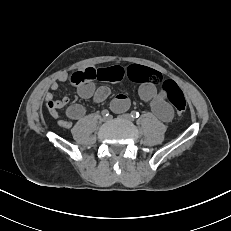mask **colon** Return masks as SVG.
Instances as JSON below:
<instances>
[{"label": "colon", "mask_w": 231, "mask_h": 231, "mask_svg": "<svg viewBox=\"0 0 231 231\" xmlns=\"http://www.w3.org/2000/svg\"><path fill=\"white\" fill-rule=\"evenodd\" d=\"M132 74L133 79L138 82H148L154 85L161 84L176 112L178 114H183L185 112L187 107L186 99L183 92L174 81H163L162 75L158 71L142 66H135ZM82 80L83 76L78 72L71 77V82L74 84H79Z\"/></svg>", "instance_id": "obj_1"}]
</instances>
